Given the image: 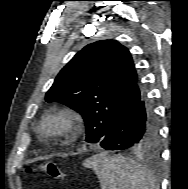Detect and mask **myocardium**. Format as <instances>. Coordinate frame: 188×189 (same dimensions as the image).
<instances>
[{"mask_svg":"<svg viewBox=\"0 0 188 189\" xmlns=\"http://www.w3.org/2000/svg\"><path fill=\"white\" fill-rule=\"evenodd\" d=\"M82 124L80 112L68 105L46 110L36 124L38 137L45 141L63 139L77 134Z\"/></svg>","mask_w":188,"mask_h":189,"instance_id":"1","label":"myocardium"}]
</instances>
